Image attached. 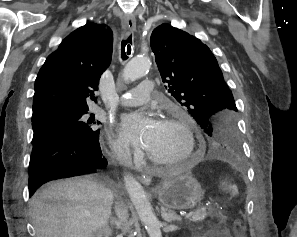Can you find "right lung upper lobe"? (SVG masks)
Listing matches in <instances>:
<instances>
[{
    "label": "right lung upper lobe",
    "instance_id": "right-lung-upper-lobe-1",
    "mask_svg": "<svg viewBox=\"0 0 297 237\" xmlns=\"http://www.w3.org/2000/svg\"><path fill=\"white\" fill-rule=\"evenodd\" d=\"M113 34L109 27L87 23L51 53L35 80L32 120L59 112H87L86 98L96 102L101 74L111 62Z\"/></svg>",
    "mask_w": 297,
    "mask_h": 237
}]
</instances>
